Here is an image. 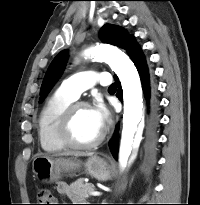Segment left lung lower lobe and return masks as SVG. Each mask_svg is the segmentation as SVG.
Masks as SVG:
<instances>
[{
  "mask_svg": "<svg viewBox=\"0 0 200 205\" xmlns=\"http://www.w3.org/2000/svg\"><path fill=\"white\" fill-rule=\"evenodd\" d=\"M125 50L127 51L129 57L134 62L135 66L137 67V70L141 78L144 95L147 100L149 122H148V133H147V141H146V152L148 158L152 160L154 158V153L156 148V139H157L156 130L159 122V117H158L159 106H158V100L156 96V88L149 74L145 57L139 45L136 43L134 37H132L129 40V42L125 47ZM117 86L119 87L117 96L119 97L120 100H122V90L120 88V83L118 81H117ZM118 130H119V125L116 126L114 136L110 140V148L115 159L117 158Z\"/></svg>",
  "mask_w": 200,
  "mask_h": 205,
  "instance_id": "obj_1",
  "label": "left lung lower lobe"
}]
</instances>
